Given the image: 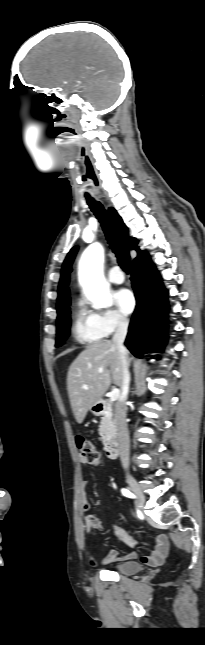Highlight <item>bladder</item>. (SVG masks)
Masks as SVG:
<instances>
[{
    "label": "bladder",
    "mask_w": 205,
    "mask_h": 645,
    "mask_svg": "<svg viewBox=\"0 0 205 645\" xmlns=\"http://www.w3.org/2000/svg\"><path fill=\"white\" fill-rule=\"evenodd\" d=\"M111 569L123 575H134L142 570V565L137 561H122L113 565Z\"/></svg>",
    "instance_id": "1"
}]
</instances>
